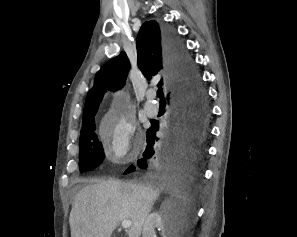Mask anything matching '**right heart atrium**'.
<instances>
[{"mask_svg":"<svg viewBox=\"0 0 297 237\" xmlns=\"http://www.w3.org/2000/svg\"><path fill=\"white\" fill-rule=\"evenodd\" d=\"M134 120L121 110L109 112L100 124L106 153L115 161L126 160L134 145Z\"/></svg>","mask_w":297,"mask_h":237,"instance_id":"d8ad5b80","label":"right heart atrium"}]
</instances>
